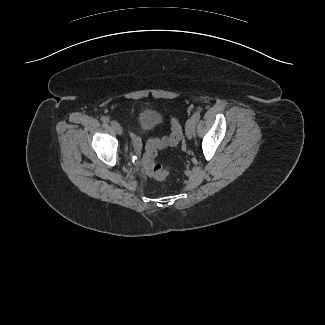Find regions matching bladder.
I'll return each mask as SVG.
<instances>
[{"mask_svg":"<svg viewBox=\"0 0 325 325\" xmlns=\"http://www.w3.org/2000/svg\"><path fill=\"white\" fill-rule=\"evenodd\" d=\"M162 120V115L155 109H143L137 115L138 127L148 131L156 127Z\"/></svg>","mask_w":325,"mask_h":325,"instance_id":"bladder-1","label":"bladder"}]
</instances>
